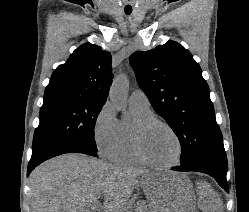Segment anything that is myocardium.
<instances>
[{"label": "myocardium", "instance_id": "f54148a6", "mask_svg": "<svg viewBox=\"0 0 249 212\" xmlns=\"http://www.w3.org/2000/svg\"><path fill=\"white\" fill-rule=\"evenodd\" d=\"M154 126H161L165 128L175 137L178 143V146H179V154H178L176 161L172 163H167V164L157 163V162L152 161L145 153L144 148H143V135L145 134L147 130H149L150 128ZM131 139H132L134 152L137 158L140 160L141 163L148 165L150 167L158 168V169H171V168L178 166L183 159L185 150H184V144L179 134L170 124L154 116L137 120L131 128Z\"/></svg>", "mask_w": 249, "mask_h": 212}]
</instances>
